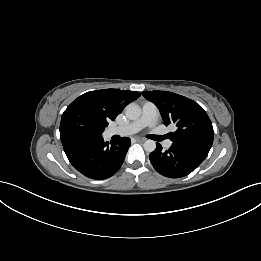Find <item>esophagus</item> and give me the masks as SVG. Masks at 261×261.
I'll return each mask as SVG.
<instances>
[{"label": "esophagus", "mask_w": 261, "mask_h": 261, "mask_svg": "<svg viewBox=\"0 0 261 261\" xmlns=\"http://www.w3.org/2000/svg\"><path fill=\"white\" fill-rule=\"evenodd\" d=\"M136 141H137V142H144L145 139H144V138L137 137V138H136Z\"/></svg>", "instance_id": "34e87169"}]
</instances>
